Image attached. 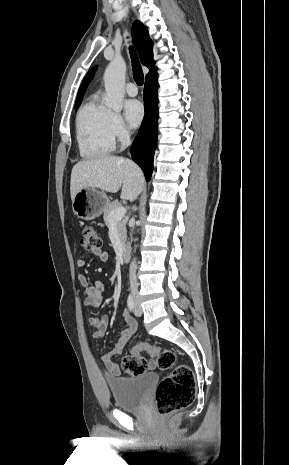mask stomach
Here are the masks:
<instances>
[{
    "instance_id": "0dacf381",
    "label": "stomach",
    "mask_w": 289,
    "mask_h": 465,
    "mask_svg": "<svg viewBox=\"0 0 289 465\" xmlns=\"http://www.w3.org/2000/svg\"><path fill=\"white\" fill-rule=\"evenodd\" d=\"M109 204L105 193L94 188H84L78 191L72 200L74 214L82 220H93L99 217Z\"/></svg>"
}]
</instances>
